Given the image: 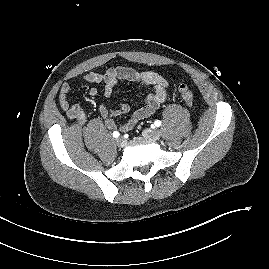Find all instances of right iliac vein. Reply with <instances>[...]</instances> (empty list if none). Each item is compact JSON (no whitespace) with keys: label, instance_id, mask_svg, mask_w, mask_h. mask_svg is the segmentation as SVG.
<instances>
[{"label":"right iliac vein","instance_id":"obj_1","mask_svg":"<svg viewBox=\"0 0 269 269\" xmlns=\"http://www.w3.org/2000/svg\"><path fill=\"white\" fill-rule=\"evenodd\" d=\"M116 144L119 146V147H125L126 146V140L122 137H119L116 139Z\"/></svg>","mask_w":269,"mask_h":269}]
</instances>
